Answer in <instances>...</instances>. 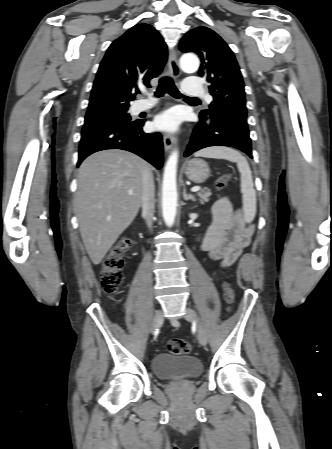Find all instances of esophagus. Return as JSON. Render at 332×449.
Here are the masks:
<instances>
[{
	"label": "esophagus",
	"mask_w": 332,
	"mask_h": 449,
	"mask_svg": "<svg viewBox=\"0 0 332 449\" xmlns=\"http://www.w3.org/2000/svg\"><path fill=\"white\" fill-rule=\"evenodd\" d=\"M169 71L173 78H178L181 75V70L177 60L176 50H173L168 61ZM163 143L166 152H169L176 144V138L171 134L163 135Z\"/></svg>",
	"instance_id": "obj_1"
}]
</instances>
